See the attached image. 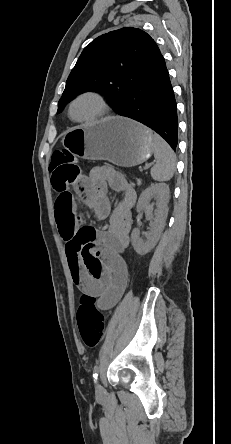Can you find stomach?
Listing matches in <instances>:
<instances>
[{
    "label": "stomach",
    "instance_id": "1",
    "mask_svg": "<svg viewBox=\"0 0 231 444\" xmlns=\"http://www.w3.org/2000/svg\"><path fill=\"white\" fill-rule=\"evenodd\" d=\"M63 146L74 156L122 167L145 162L154 151L152 132L129 118L112 116L68 130Z\"/></svg>",
    "mask_w": 231,
    "mask_h": 444
}]
</instances>
